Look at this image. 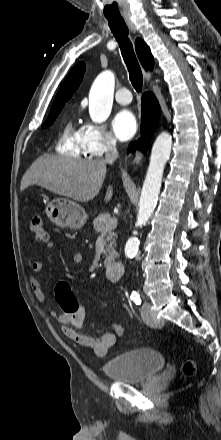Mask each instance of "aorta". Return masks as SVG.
<instances>
[{"mask_svg":"<svg viewBox=\"0 0 221 440\" xmlns=\"http://www.w3.org/2000/svg\"><path fill=\"white\" fill-rule=\"evenodd\" d=\"M115 77L111 71H104L95 79L89 93V115L93 122L102 123L111 113L114 95ZM172 137L161 132L156 138L151 152L150 163L141 191L138 226L146 224L152 215L158 200L165 164L169 159ZM139 240L136 236L128 239L125 254L133 256L138 251Z\"/></svg>","mask_w":221,"mask_h":440,"instance_id":"1","label":"aorta"}]
</instances>
